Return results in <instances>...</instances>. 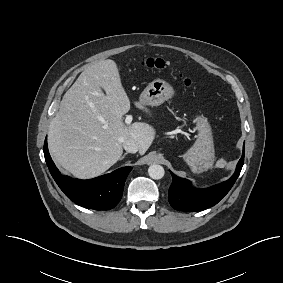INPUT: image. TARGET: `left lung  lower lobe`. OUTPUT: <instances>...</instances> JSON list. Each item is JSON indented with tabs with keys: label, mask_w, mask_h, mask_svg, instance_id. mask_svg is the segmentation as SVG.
I'll use <instances>...</instances> for the list:
<instances>
[{
	"label": "left lung lower lobe",
	"mask_w": 283,
	"mask_h": 283,
	"mask_svg": "<svg viewBox=\"0 0 283 283\" xmlns=\"http://www.w3.org/2000/svg\"><path fill=\"white\" fill-rule=\"evenodd\" d=\"M243 163L244 149L232 177L207 189H189L190 181L179 178L170 172L172 184L169 188V203L179 211H199L214 206L229 192L241 172Z\"/></svg>",
	"instance_id": "0a47b994"
}]
</instances>
